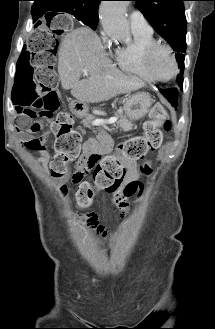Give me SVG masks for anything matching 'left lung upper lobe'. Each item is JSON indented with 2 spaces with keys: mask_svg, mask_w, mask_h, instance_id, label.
<instances>
[{
  "mask_svg": "<svg viewBox=\"0 0 215 329\" xmlns=\"http://www.w3.org/2000/svg\"><path fill=\"white\" fill-rule=\"evenodd\" d=\"M146 20L176 52L180 68L178 87H183L184 59L186 52L187 21L183 1L185 0H133Z\"/></svg>",
  "mask_w": 215,
  "mask_h": 329,
  "instance_id": "1",
  "label": "left lung upper lobe"
}]
</instances>
